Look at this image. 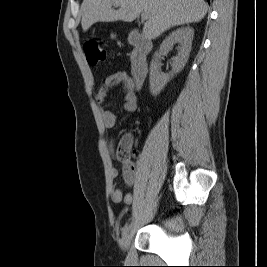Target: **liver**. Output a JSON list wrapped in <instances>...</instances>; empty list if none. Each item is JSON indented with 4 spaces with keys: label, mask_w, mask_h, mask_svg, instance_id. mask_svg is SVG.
I'll return each mask as SVG.
<instances>
[{
    "label": "liver",
    "mask_w": 267,
    "mask_h": 267,
    "mask_svg": "<svg viewBox=\"0 0 267 267\" xmlns=\"http://www.w3.org/2000/svg\"><path fill=\"white\" fill-rule=\"evenodd\" d=\"M112 5L119 7L114 10ZM208 10L203 0H83L82 29L86 32L96 22L134 21L146 13L143 35L151 40L171 27L199 22Z\"/></svg>",
    "instance_id": "obj_1"
}]
</instances>
